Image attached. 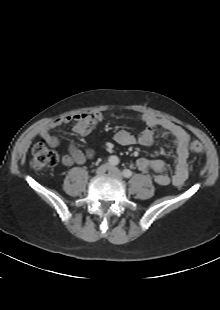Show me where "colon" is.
<instances>
[{
    "instance_id": "5ec220e1",
    "label": "colon",
    "mask_w": 220,
    "mask_h": 310,
    "mask_svg": "<svg viewBox=\"0 0 220 310\" xmlns=\"http://www.w3.org/2000/svg\"><path fill=\"white\" fill-rule=\"evenodd\" d=\"M189 150L192 154H200L203 151V145L200 141L193 140L189 144ZM57 162V152L44 142H38L33 146L30 159L32 169L43 170L55 166Z\"/></svg>"
}]
</instances>
